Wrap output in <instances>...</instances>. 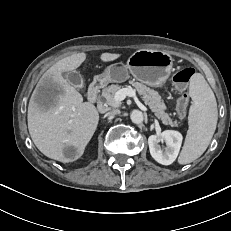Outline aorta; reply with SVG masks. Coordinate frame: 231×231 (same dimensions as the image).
<instances>
[{"instance_id": "1", "label": "aorta", "mask_w": 231, "mask_h": 231, "mask_svg": "<svg viewBox=\"0 0 231 231\" xmlns=\"http://www.w3.org/2000/svg\"><path fill=\"white\" fill-rule=\"evenodd\" d=\"M130 118H131L132 122L135 124H140L144 120L143 113L139 110H133L130 114Z\"/></svg>"}]
</instances>
